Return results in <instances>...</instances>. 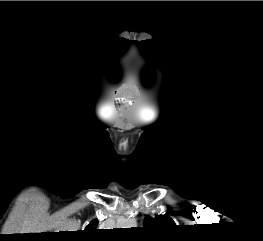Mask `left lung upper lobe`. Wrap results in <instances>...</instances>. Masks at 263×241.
Segmentation results:
<instances>
[{
    "instance_id": "obj_1",
    "label": "left lung upper lobe",
    "mask_w": 263,
    "mask_h": 241,
    "mask_svg": "<svg viewBox=\"0 0 263 241\" xmlns=\"http://www.w3.org/2000/svg\"><path fill=\"white\" fill-rule=\"evenodd\" d=\"M144 226L147 229H168L175 226L174 221L165 215H157L156 218H152L150 216H146L144 219Z\"/></svg>"
}]
</instances>
